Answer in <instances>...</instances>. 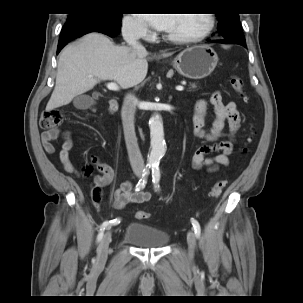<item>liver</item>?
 I'll return each instance as SVG.
<instances>
[{"label": "liver", "mask_w": 303, "mask_h": 303, "mask_svg": "<svg viewBox=\"0 0 303 303\" xmlns=\"http://www.w3.org/2000/svg\"><path fill=\"white\" fill-rule=\"evenodd\" d=\"M147 55V51L134 55L131 48L114 45L101 33L85 35L61 52L56 85L46 110L69 104L99 81L114 80L123 89L140 84L148 71Z\"/></svg>", "instance_id": "obj_1"}]
</instances>
